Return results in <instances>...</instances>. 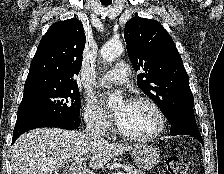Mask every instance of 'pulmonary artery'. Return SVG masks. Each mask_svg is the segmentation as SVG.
I'll list each match as a JSON object with an SVG mask.
<instances>
[{"label": "pulmonary artery", "instance_id": "obj_1", "mask_svg": "<svg viewBox=\"0 0 224 174\" xmlns=\"http://www.w3.org/2000/svg\"><path fill=\"white\" fill-rule=\"evenodd\" d=\"M128 66L125 63H118L112 70L101 77V82L108 84H124L128 78Z\"/></svg>", "mask_w": 224, "mask_h": 174}]
</instances>
